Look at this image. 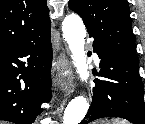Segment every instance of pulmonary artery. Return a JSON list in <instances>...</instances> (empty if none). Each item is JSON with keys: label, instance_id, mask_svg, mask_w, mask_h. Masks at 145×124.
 Here are the masks:
<instances>
[{"label": "pulmonary artery", "instance_id": "pulmonary-artery-1", "mask_svg": "<svg viewBox=\"0 0 145 124\" xmlns=\"http://www.w3.org/2000/svg\"><path fill=\"white\" fill-rule=\"evenodd\" d=\"M94 58H95L96 60L98 59L96 54H94Z\"/></svg>", "mask_w": 145, "mask_h": 124}]
</instances>
